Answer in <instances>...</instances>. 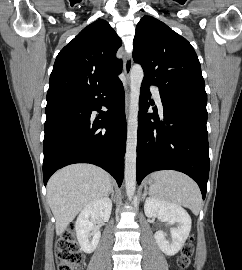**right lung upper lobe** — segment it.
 I'll return each instance as SVG.
<instances>
[{"instance_id":"right-lung-upper-lobe-1","label":"right lung upper lobe","mask_w":242,"mask_h":270,"mask_svg":"<svg viewBox=\"0 0 242 270\" xmlns=\"http://www.w3.org/2000/svg\"><path fill=\"white\" fill-rule=\"evenodd\" d=\"M121 45L107 21L99 19L85 27L56 57L47 104L84 95L116 80L122 71V60L116 58Z\"/></svg>"}]
</instances>
